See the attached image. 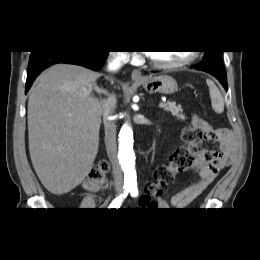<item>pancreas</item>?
I'll use <instances>...</instances> for the list:
<instances>
[{
    "label": "pancreas",
    "instance_id": "pancreas-1",
    "mask_svg": "<svg viewBox=\"0 0 260 260\" xmlns=\"http://www.w3.org/2000/svg\"><path fill=\"white\" fill-rule=\"evenodd\" d=\"M164 110L170 112L173 116H176L179 119L185 120V115L182 113L183 109L180 105H176L175 102L168 101Z\"/></svg>",
    "mask_w": 260,
    "mask_h": 260
}]
</instances>
